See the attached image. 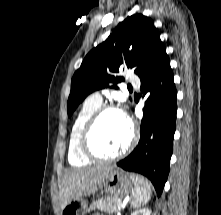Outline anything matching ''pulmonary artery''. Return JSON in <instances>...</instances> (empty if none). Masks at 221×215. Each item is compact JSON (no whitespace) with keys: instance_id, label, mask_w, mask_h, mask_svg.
Instances as JSON below:
<instances>
[{"instance_id":"pulmonary-artery-1","label":"pulmonary artery","mask_w":221,"mask_h":215,"mask_svg":"<svg viewBox=\"0 0 221 215\" xmlns=\"http://www.w3.org/2000/svg\"><path fill=\"white\" fill-rule=\"evenodd\" d=\"M129 81L135 86H139V84H140L139 78L134 75L130 76ZM91 97H93L94 99L99 100V101L102 100L99 93H94V94H92Z\"/></svg>"}]
</instances>
